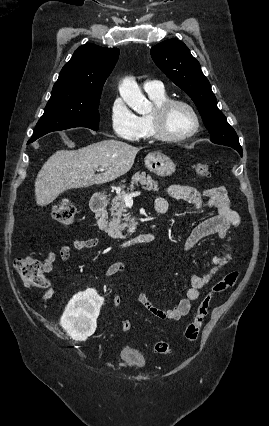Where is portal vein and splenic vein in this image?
Returning a JSON list of instances; mask_svg holds the SVG:
<instances>
[{"mask_svg": "<svg viewBox=\"0 0 269 426\" xmlns=\"http://www.w3.org/2000/svg\"><path fill=\"white\" fill-rule=\"evenodd\" d=\"M99 170H100L101 172H103V171H104V169H103V168H99ZM139 195H140V192H134V193H131V194H129V195H125V196L123 197L124 203H125L126 205L132 204V203H133V197H136V196H139Z\"/></svg>", "mask_w": 269, "mask_h": 426, "instance_id": "18ae733b", "label": "portal vein and splenic vein"}]
</instances>
